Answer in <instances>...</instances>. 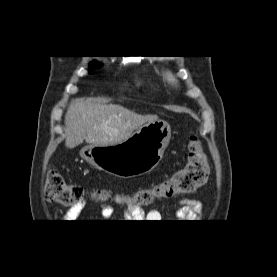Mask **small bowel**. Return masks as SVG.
<instances>
[{"mask_svg": "<svg viewBox=\"0 0 277 277\" xmlns=\"http://www.w3.org/2000/svg\"><path fill=\"white\" fill-rule=\"evenodd\" d=\"M85 205L86 201L83 200L63 212L61 214L62 222H74V220H76L81 214ZM180 205V208L175 211L174 216L184 222L197 220L203 210L202 203L196 199H182ZM101 213L103 217L110 218L113 215V208L108 204H102ZM122 217L125 220H136L137 222H160V220L163 219L162 214L156 209H152L146 213L137 209H127L124 211Z\"/></svg>", "mask_w": 277, "mask_h": 277, "instance_id": "c3829d8e", "label": "small bowel"}]
</instances>
